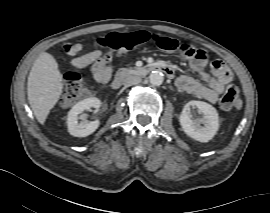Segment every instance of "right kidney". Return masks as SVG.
Masks as SVG:
<instances>
[{"label":"right kidney","instance_id":"ca27d5eb","mask_svg":"<svg viewBox=\"0 0 270 213\" xmlns=\"http://www.w3.org/2000/svg\"><path fill=\"white\" fill-rule=\"evenodd\" d=\"M101 106V101L96 97L86 98L82 101L76 103L72 109L68 112L67 116V126L68 132L75 137H86L96 131L99 127V121L92 122H78L81 114L84 110H89L90 108L99 109Z\"/></svg>","mask_w":270,"mask_h":213}]
</instances>
